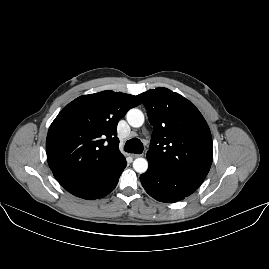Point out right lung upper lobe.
Wrapping results in <instances>:
<instances>
[{
    "instance_id": "right-lung-upper-lobe-1",
    "label": "right lung upper lobe",
    "mask_w": 269,
    "mask_h": 269,
    "mask_svg": "<svg viewBox=\"0 0 269 269\" xmlns=\"http://www.w3.org/2000/svg\"><path fill=\"white\" fill-rule=\"evenodd\" d=\"M139 104L134 95L102 91L80 96L64 107L46 139L47 160L55 178L99 171L120 157L118 121Z\"/></svg>"
}]
</instances>
